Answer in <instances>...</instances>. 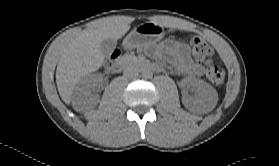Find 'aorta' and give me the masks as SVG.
Returning a JSON list of instances; mask_svg holds the SVG:
<instances>
[{"label":"aorta","mask_w":279,"mask_h":166,"mask_svg":"<svg viewBox=\"0 0 279 166\" xmlns=\"http://www.w3.org/2000/svg\"><path fill=\"white\" fill-rule=\"evenodd\" d=\"M152 76H153V72H152L151 69H149V68H144V69L142 70V77H143L144 79H151Z\"/></svg>","instance_id":"obj_1"}]
</instances>
